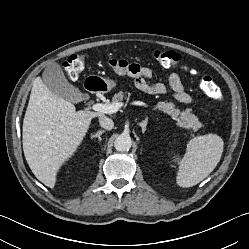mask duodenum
Wrapping results in <instances>:
<instances>
[{
    "label": "duodenum",
    "mask_w": 249,
    "mask_h": 249,
    "mask_svg": "<svg viewBox=\"0 0 249 249\" xmlns=\"http://www.w3.org/2000/svg\"><path fill=\"white\" fill-rule=\"evenodd\" d=\"M86 88L87 90L92 91L93 93H96V94L101 93V90H102V88L98 84L96 85L87 84Z\"/></svg>",
    "instance_id": "410a0bca"
}]
</instances>
